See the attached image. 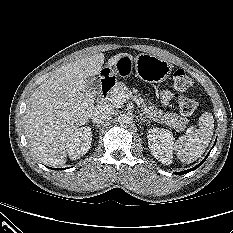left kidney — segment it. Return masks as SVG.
<instances>
[{
	"instance_id": "5707ae66",
	"label": "left kidney",
	"mask_w": 233,
	"mask_h": 233,
	"mask_svg": "<svg viewBox=\"0 0 233 233\" xmlns=\"http://www.w3.org/2000/svg\"><path fill=\"white\" fill-rule=\"evenodd\" d=\"M148 145L152 155L165 165H170L173 158V135L160 128L149 129Z\"/></svg>"
}]
</instances>
